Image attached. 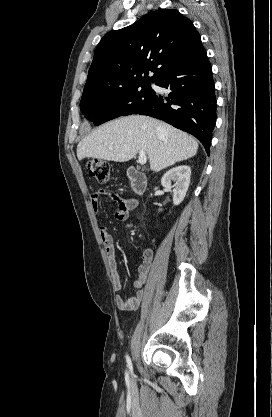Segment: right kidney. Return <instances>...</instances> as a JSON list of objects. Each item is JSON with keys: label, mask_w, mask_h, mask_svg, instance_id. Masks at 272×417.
<instances>
[{"label": "right kidney", "mask_w": 272, "mask_h": 417, "mask_svg": "<svg viewBox=\"0 0 272 417\" xmlns=\"http://www.w3.org/2000/svg\"><path fill=\"white\" fill-rule=\"evenodd\" d=\"M191 168L187 165H180L167 171L162 179L163 187L171 188V182H175L173 186V204L179 205L185 198L186 192L190 184Z\"/></svg>", "instance_id": "1"}]
</instances>
